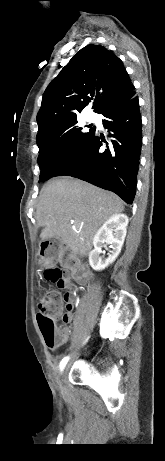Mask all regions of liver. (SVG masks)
Listing matches in <instances>:
<instances>
[{
	"label": "liver",
	"mask_w": 165,
	"mask_h": 461,
	"mask_svg": "<svg viewBox=\"0 0 165 461\" xmlns=\"http://www.w3.org/2000/svg\"><path fill=\"white\" fill-rule=\"evenodd\" d=\"M124 210L118 196L70 177L50 180L36 210L40 237H59L73 253L86 256L100 226Z\"/></svg>",
	"instance_id": "liver-1"
}]
</instances>
